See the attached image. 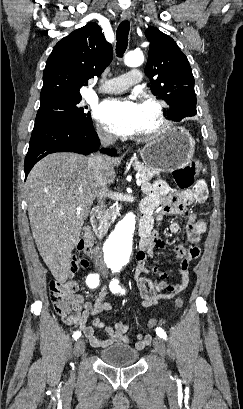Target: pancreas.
<instances>
[{"label":"pancreas","mask_w":243,"mask_h":409,"mask_svg":"<svg viewBox=\"0 0 243 409\" xmlns=\"http://www.w3.org/2000/svg\"><path fill=\"white\" fill-rule=\"evenodd\" d=\"M134 169L139 172L140 174V179L142 181V184H147L151 178L155 175H157L159 172L156 170H153L147 166H144L143 164L139 163V162H135L134 163ZM119 210L120 208H115L112 212H111V217H115L119 214Z\"/></svg>","instance_id":"cf45deb5"}]
</instances>
